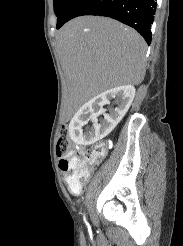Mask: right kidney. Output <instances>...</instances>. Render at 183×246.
<instances>
[{
  "instance_id": "1",
  "label": "right kidney",
  "mask_w": 183,
  "mask_h": 246,
  "mask_svg": "<svg viewBox=\"0 0 183 246\" xmlns=\"http://www.w3.org/2000/svg\"><path fill=\"white\" fill-rule=\"evenodd\" d=\"M135 96V88L132 85L118 86L109 89L85 103L74 115L69 124L70 138L79 145H90L106 137L122 120L128 111ZM115 99L117 106L109 114L103 106ZM104 119L98 123V116ZM89 121L93 126L87 132L82 127Z\"/></svg>"
}]
</instances>
